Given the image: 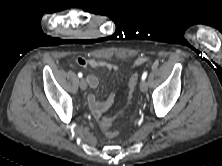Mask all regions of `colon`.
I'll return each instance as SVG.
<instances>
[{
	"instance_id": "colon-1",
	"label": "colon",
	"mask_w": 222,
	"mask_h": 166,
	"mask_svg": "<svg viewBox=\"0 0 222 166\" xmlns=\"http://www.w3.org/2000/svg\"><path fill=\"white\" fill-rule=\"evenodd\" d=\"M137 82H138V74L134 73L130 76L129 81H128V90H129L130 97L132 96V94L135 91V88L137 86ZM123 113H124V110H121V111H119V113L117 115L112 116V117H104L100 121V126L107 137L113 138L117 135V131L113 129V122L118 116L122 115Z\"/></svg>"
}]
</instances>
